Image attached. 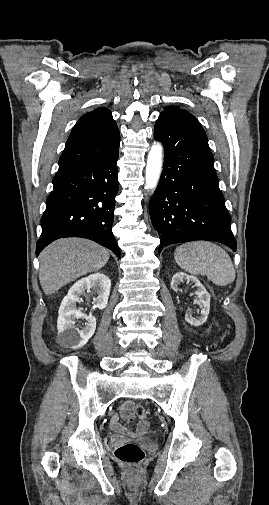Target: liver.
Listing matches in <instances>:
<instances>
[{"label":"liver","mask_w":269,"mask_h":505,"mask_svg":"<svg viewBox=\"0 0 269 505\" xmlns=\"http://www.w3.org/2000/svg\"><path fill=\"white\" fill-rule=\"evenodd\" d=\"M109 251L82 238H64L51 243L39 255V280L46 295L67 283L101 269L109 260Z\"/></svg>","instance_id":"obj_1"}]
</instances>
